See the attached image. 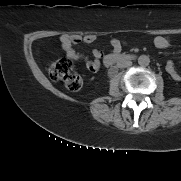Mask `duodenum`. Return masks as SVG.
<instances>
[{
  "instance_id": "1",
  "label": "duodenum",
  "mask_w": 181,
  "mask_h": 181,
  "mask_svg": "<svg viewBox=\"0 0 181 181\" xmlns=\"http://www.w3.org/2000/svg\"><path fill=\"white\" fill-rule=\"evenodd\" d=\"M133 56L131 55H109L105 59V63L108 66L122 64L128 60H131Z\"/></svg>"
}]
</instances>
